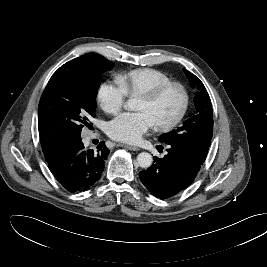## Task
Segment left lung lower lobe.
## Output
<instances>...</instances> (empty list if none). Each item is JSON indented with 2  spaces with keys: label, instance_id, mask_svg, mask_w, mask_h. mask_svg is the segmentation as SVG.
<instances>
[{
  "label": "left lung lower lobe",
  "instance_id": "0a47b994",
  "mask_svg": "<svg viewBox=\"0 0 267 267\" xmlns=\"http://www.w3.org/2000/svg\"><path fill=\"white\" fill-rule=\"evenodd\" d=\"M164 158L155 157L154 164L140 172V180L157 198L167 199L192 184L203 164L193 152L169 145Z\"/></svg>",
  "mask_w": 267,
  "mask_h": 267
}]
</instances>
